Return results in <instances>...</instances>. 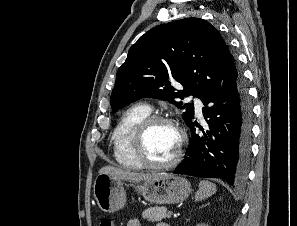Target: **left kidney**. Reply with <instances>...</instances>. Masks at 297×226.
<instances>
[{
  "instance_id": "left-kidney-1",
  "label": "left kidney",
  "mask_w": 297,
  "mask_h": 226,
  "mask_svg": "<svg viewBox=\"0 0 297 226\" xmlns=\"http://www.w3.org/2000/svg\"><path fill=\"white\" fill-rule=\"evenodd\" d=\"M197 226H207V225H205V224H198Z\"/></svg>"
}]
</instances>
